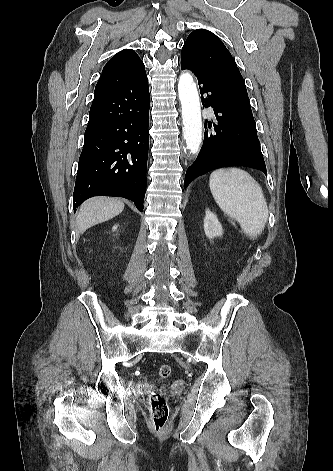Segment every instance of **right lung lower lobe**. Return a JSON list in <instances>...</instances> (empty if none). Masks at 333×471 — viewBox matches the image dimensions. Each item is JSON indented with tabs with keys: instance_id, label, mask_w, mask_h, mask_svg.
<instances>
[{
	"instance_id": "98d812e1",
	"label": "right lung lower lobe",
	"mask_w": 333,
	"mask_h": 471,
	"mask_svg": "<svg viewBox=\"0 0 333 471\" xmlns=\"http://www.w3.org/2000/svg\"><path fill=\"white\" fill-rule=\"evenodd\" d=\"M146 73L125 89L95 97L79 158L73 209L93 196H118L143 212L149 147Z\"/></svg>"
}]
</instances>
